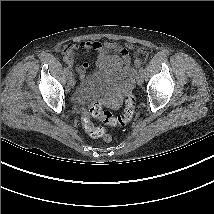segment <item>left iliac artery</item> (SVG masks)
Returning <instances> with one entry per match:
<instances>
[{"label": "left iliac artery", "instance_id": "1", "mask_svg": "<svg viewBox=\"0 0 214 214\" xmlns=\"http://www.w3.org/2000/svg\"><path fill=\"white\" fill-rule=\"evenodd\" d=\"M139 72H140V73H142V72H143V67H141V68L139 69Z\"/></svg>", "mask_w": 214, "mask_h": 214}]
</instances>
